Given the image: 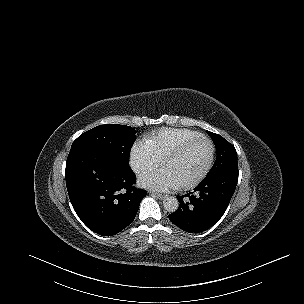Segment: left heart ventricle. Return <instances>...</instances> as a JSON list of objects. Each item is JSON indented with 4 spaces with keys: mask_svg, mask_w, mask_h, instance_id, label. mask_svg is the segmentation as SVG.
I'll list each match as a JSON object with an SVG mask.
<instances>
[{
    "mask_svg": "<svg viewBox=\"0 0 304 304\" xmlns=\"http://www.w3.org/2000/svg\"><path fill=\"white\" fill-rule=\"evenodd\" d=\"M208 152L207 143L196 144L173 160L167 171L178 183L190 181L204 166Z\"/></svg>",
    "mask_w": 304,
    "mask_h": 304,
    "instance_id": "b2bd125f",
    "label": "left heart ventricle"
}]
</instances>
